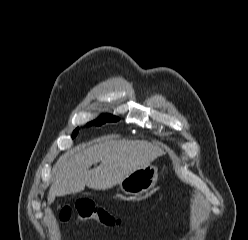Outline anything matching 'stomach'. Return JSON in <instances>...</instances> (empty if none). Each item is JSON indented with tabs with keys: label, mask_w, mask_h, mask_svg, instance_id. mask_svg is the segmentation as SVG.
Returning a JSON list of instances; mask_svg holds the SVG:
<instances>
[{
	"label": "stomach",
	"mask_w": 248,
	"mask_h": 240,
	"mask_svg": "<svg viewBox=\"0 0 248 240\" xmlns=\"http://www.w3.org/2000/svg\"><path fill=\"white\" fill-rule=\"evenodd\" d=\"M158 179V168L153 165L138 169L119 183V189L127 195H141L150 191Z\"/></svg>",
	"instance_id": "0dacf381"
}]
</instances>
